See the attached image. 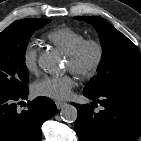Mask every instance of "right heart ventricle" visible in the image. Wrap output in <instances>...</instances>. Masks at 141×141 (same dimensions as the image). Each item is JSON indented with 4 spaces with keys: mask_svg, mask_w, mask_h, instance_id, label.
Returning <instances> with one entry per match:
<instances>
[{
    "mask_svg": "<svg viewBox=\"0 0 141 141\" xmlns=\"http://www.w3.org/2000/svg\"><path fill=\"white\" fill-rule=\"evenodd\" d=\"M46 39L68 55L85 40V36L72 27L61 26L50 30Z\"/></svg>",
    "mask_w": 141,
    "mask_h": 141,
    "instance_id": "obj_1",
    "label": "right heart ventricle"
}]
</instances>
